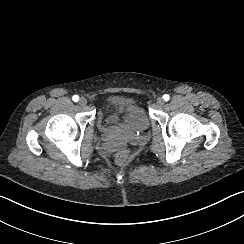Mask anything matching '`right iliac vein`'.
<instances>
[{
  "mask_svg": "<svg viewBox=\"0 0 244 244\" xmlns=\"http://www.w3.org/2000/svg\"><path fill=\"white\" fill-rule=\"evenodd\" d=\"M79 104L80 106H85L87 104V100L84 97H81L79 100Z\"/></svg>",
  "mask_w": 244,
  "mask_h": 244,
  "instance_id": "obj_1",
  "label": "right iliac vein"
}]
</instances>
